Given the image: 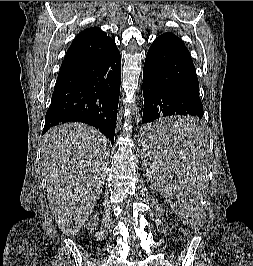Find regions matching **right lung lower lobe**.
<instances>
[{
	"mask_svg": "<svg viewBox=\"0 0 253 266\" xmlns=\"http://www.w3.org/2000/svg\"><path fill=\"white\" fill-rule=\"evenodd\" d=\"M121 83V57L109 56L57 78L42 134L65 122L100 130L113 145Z\"/></svg>",
	"mask_w": 253,
	"mask_h": 266,
	"instance_id": "right-lung-lower-lobe-1",
	"label": "right lung lower lobe"
}]
</instances>
